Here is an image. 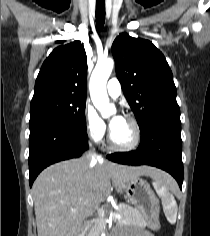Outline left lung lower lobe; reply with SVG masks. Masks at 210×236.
I'll use <instances>...</instances> for the list:
<instances>
[{
  "label": "left lung lower lobe",
  "instance_id": "left-lung-lower-lobe-1",
  "mask_svg": "<svg viewBox=\"0 0 210 236\" xmlns=\"http://www.w3.org/2000/svg\"><path fill=\"white\" fill-rule=\"evenodd\" d=\"M137 150L108 155L111 161L126 165H150L170 173L182 189L183 163L180 117H161L141 129Z\"/></svg>",
  "mask_w": 210,
  "mask_h": 236
}]
</instances>
